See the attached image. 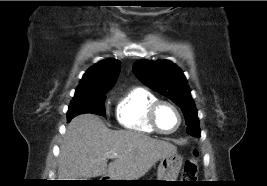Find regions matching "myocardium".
<instances>
[{
  "instance_id": "myocardium-1",
  "label": "myocardium",
  "mask_w": 267,
  "mask_h": 186,
  "mask_svg": "<svg viewBox=\"0 0 267 186\" xmlns=\"http://www.w3.org/2000/svg\"><path fill=\"white\" fill-rule=\"evenodd\" d=\"M161 105H169L171 106L177 113L178 116V124L177 126L171 130V131H164L162 130L158 123H157V111L159 109V107ZM147 119L149 124L151 125V127L155 130V132L162 134V135H171L174 134L175 132H177L179 130V128L181 127L182 123H183V115L182 112L180 110V108L172 101L169 100H164V99H157L156 101H154L149 109H148V114H147Z\"/></svg>"
}]
</instances>
